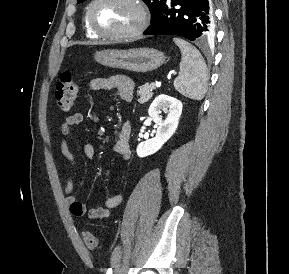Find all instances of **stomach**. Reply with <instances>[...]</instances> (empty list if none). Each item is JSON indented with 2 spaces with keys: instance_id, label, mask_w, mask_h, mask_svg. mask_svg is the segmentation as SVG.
Wrapping results in <instances>:
<instances>
[{
  "instance_id": "1",
  "label": "stomach",
  "mask_w": 289,
  "mask_h": 274,
  "mask_svg": "<svg viewBox=\"0 0 289 274\" xmlns=\"http://www.w3.org/2000/svg\"><path fill=\"white\" fill-rule=\"evenodd\" d=\"M95 61L112 68L134 72H148L164 64L166 56L153 48H136L129 50H103L94 55Z\"/></svg>"
}]
</instances>
